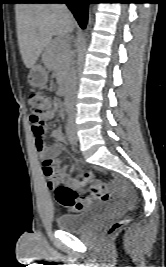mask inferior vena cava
<instances>
[{
    "label": "inferior vena cava",
    "instance_id": "obj_1",
    "mask_svg": "<svg viewBox=\"0 0 166 267\" xmlns=\"http://www.w3.org/2000/svg\"><path fill=\"white\" fill-rule=\"evenodd\" d=\"M62 8L68 11L67 6L65 4H62ZM73 65V62H72ZM76 86H77V72L74 67H72L71 70V78H70V89H69V95L71 97V100L74 99V94L76 91Z\"/></svg>",
    "mask_w": 166,
    "mask_h": 267
}]
</instances>
